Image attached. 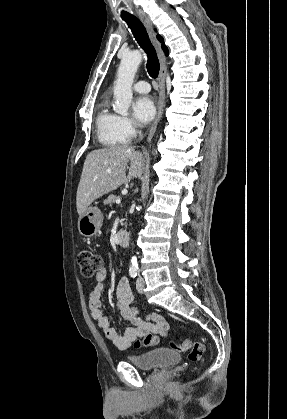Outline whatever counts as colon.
<instances>
[{"label": "colon", "instance_id": "colon-1", "mask_svg": "<svg viewBox=\"0 0 287 419\" xmlns=\"http://www.w3.org/2000/svg\"><path fill=\"white\" fill-rule=\"evenodd\" d=\"M78 262L81 267L82 274L86 277H91L103 269L102 259L100 255L91 251L83 250L78 255ZM157 337L148 334L141 340H137L134 344L136 348L141 345H156ZM172 347L179 352L187 353L190 361H199L204 354V346L199 342H193L188 338L179 339L172 343Z\"/></svg>", "mask_w": 287, "mask_h": 419}]
</instances>
